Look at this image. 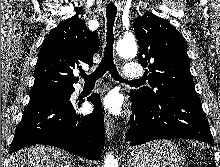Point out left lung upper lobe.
I'll use <instances>...</instances> for the list:
<instances>
[{"label":"left lung upper lobe","mask_w":220,"mask_h":167,"mask_svg":"<svg viewBox=\"0 0 220 167\" xmlns=\"http://www.w3.org/2000/svg\"><path fill=\"white\" fill-rule=\"evenodd\" d=\"M140 54L138 61L146 71L151 88L131 92L144 101H153L168 91L197 95L190 73V60L183 35L167 20L146 12L134 22Z\"/></svg>","instance_id":"left-lung-upper-lobe-1"}]
</instances>
